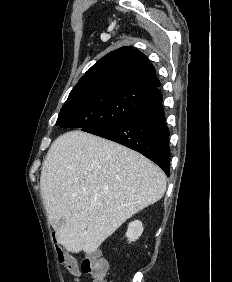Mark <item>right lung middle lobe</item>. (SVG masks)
Here are the masks:
<instances>
[{"instance_id": "obj_1", "label": "right lung middle lobe", "mask_w": 232, "mask_h": 282, "mask_svg": "<svg viewBox=\"0 0 232 282\" xmlns=\"http://www.w3.org/2000/svg\"><path fill=\"white\" fill-rule=\"evenodd\" d=\"M154 107V101L135 90L111 89L90 92L67 99L56 126L90 131L134 118Z\"/></svg>"}]
</instances>
